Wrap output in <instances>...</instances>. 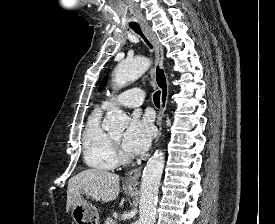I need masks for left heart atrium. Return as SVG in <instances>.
I'll return each mask as SVG.
<instances>
[{"label":"left heart atrium","mask_w":275,"mask_h":224,"mask_svg":"<svg viewBox=\"0 0 275 224\" xmlns=\"http://www.w3.org/2000/svg\"><path fill=\"white\" fill-rule=\"evenodd\" d=\"M154 136V127L149 118L134 116L122 137V146L132 154H141L147 150Z\"/></svg>","instance_id":"obj_1"}]
</instances>
